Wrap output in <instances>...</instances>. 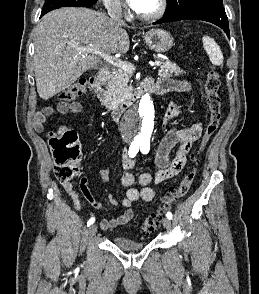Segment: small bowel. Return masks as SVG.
<instances>
[{"mask_svg":"<svg viewBox=\"0 0 259 294\" xmlns=\"http://www.w3.org/2000/svg\"><path fill=\"white\" fill-rule=\"evenodd\" d=\"M156 93L167 92H188L190 85L186 81L162 78L155 84ZM181 106L178 103H172L166 110L164 116L163 127L165 133L160 140L155 153L156 170L153 173L144 172L137 178L132 173L135 166L134 160L129 156L128 151H124L122 156V167L124 173L121 177L122 186L127 188L126 195L122 200H117L110 197V203L113 205H120L125 210L117 217L110 219H103L100 222L102 230H109L116 228L120 225L128 223L133 217V210L130 208L132 203L142 200L151 201L155 196L154 190L150 187L152 183L159 184L164 180L178 174L185 166L187 155L190 151L192 144L197 141L202 134V125L196 123L183 128H176L171 125L173 118L180 112ZM81 105L78 102H59L56 107H46L37 112L33 118V128L37 132H42L44 129V122L48 116L54 111L61 114H75L80 112ZM179 145L174 153L173 159L169 160V155L172 149ZM111 168L105 167L100 171L101 181L107 183L110 181ZM138 183L140 189L133 187ZM63 190L73 201L76 209H80L79 197L73 185L67 181L62 183ZM79 189L84 197L97 209L102 207V204L93 197L89 187L88 180L84 176L80 180Z\"/></svg>","mask_w":259,"mask_h":294,"instance_id":"obj_1","label":"small bowel"}]
</instances>
